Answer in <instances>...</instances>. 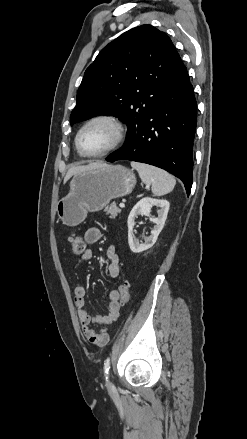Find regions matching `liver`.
Wrapping results in <instances>:
<instances>
[{
	"label": "liver",
	"mask_w": 247,
	"mask_h": 439,
	"mask_svg": "<svg viewBox=\"0 0 247 439\" xmlns=\"http://www.w3.org/2000/svg\"><path fill=\"white\" fill-rule=\"evenodd\" d=\"M107 164H105V163H102V162H99V161H97V162H92V163H90V164H88V165H84V166H75V167H71L69 170H68V172H67V174H66V176H65V178H64V184L73 176V175H76V174H79V173H82V172H85V171H90V170H93V169H96V168H100V167H104V166H106Z\"/></svg>",
	"instance_id": "6515ba94"
}]
</instances>
